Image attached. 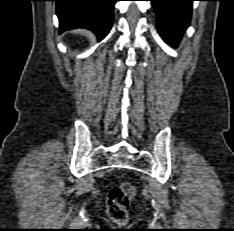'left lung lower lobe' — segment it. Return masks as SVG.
I'll return each mask as SVG.
<instances>
[{"mask_svg": "<svg viewBox=\"0 0 234 231\" xmlns=\"http://www.w3.org/2000/svg\"><path fill=\"white\" fill-rule=\"evenodd\" d=\"M156 10L157 27L165 42L176 46L190 23L194 0H150Z\"/></svg>", "mask_w": 234, "mask_h": 231, "instance_id": "obj_1", "label": "left lung lower lobe"}]
</instances>
